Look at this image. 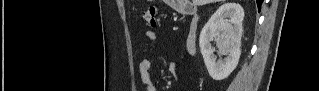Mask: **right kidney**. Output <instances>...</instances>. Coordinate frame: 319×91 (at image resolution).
<instances>
[{
	"label": "right kidney",
	"instance_id": "right-kidney-1",
	"mask_svg": "<svg viewBox=\"0 0 319 91\" xmlns=\"http://www.w3.org/2000/svg\"><path fill=\"white\" fill-rule=\"evenodd\" d=\"M244 10L237 3L220 6L203 27L199 46L209 75L217 81L227 78L236 68L240 58L242 21ZM220 54L228 55L224 60L216 58L212 41Z\"/></svg>",
	"mask_w": 319,
	"mask_h": 91
}]
</instances>
